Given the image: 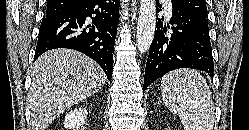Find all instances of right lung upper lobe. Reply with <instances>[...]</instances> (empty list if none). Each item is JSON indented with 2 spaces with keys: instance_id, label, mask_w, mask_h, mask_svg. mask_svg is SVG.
<instances>
[{
  "instance_id": "cb5924a9",
  "label": "right lung upper lobe",
  "mask_w": 249,
  "mask_h": 130,
  "mask_svg": "<svg viewBox=\"0 0 249 130\" xmlns=\"http://www.w3.org/2000/svg\"><path fill=\"white\" fill-rule=\"evenodd\" d=\"M81 0H48L46 15L52 16L73 8Z\"/></svg>"
}]
</instances>
